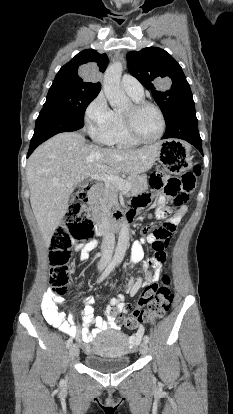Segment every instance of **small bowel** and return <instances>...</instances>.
Here are the masks:
<instances>
[{"mask_svg":"<svg viewBox=\"0 0 233 414\" xmlns=\"http://www.w3.org/2000/svg\"><path fill=\"white\" fill-rule=\"evenodd\" d=\"M150 199L146 196H138L134 201V209H141L148 206ZM165 197L162 195L157 196V205L159 206V216L166 217L169 213L168 209L164 207ZM188 208L186 205L178 207L175 213L168 219L166 224L176 226L186 214ZM95 240L76 246V250L80 253V260L85 261L89 257V252L96 246ZM143 256V251L138 243H135L132 247V262H138ZM162 263L156 265L154 269H149L145 266L144 280L141 276H138L136 281L132 284H128L126 289L129 291L131 297L136 296L141 288H145L149 285L157 283L159 280L160 270ZM82 285L83 283V279ZM73 287L72 285L70 286ZM51 292V289H48ZM98 298L89 296L83 300L82 310V328H79L76 319L72 312L66 313L61 306L64 304L62 297L55 294L44 293L41 300L42 314L45 320L52 326L58 328L64 333L69 334L74 339L78 340L85 349H90V344L94 341L96 335L106 330L108 327L115 328V316L117 313L124 311L126 303L124 296L119 294L115 298L109 300L108 304L103 306L102 317L94 316V306L97 303ZM144 329L142 325L139 327L136 335L131 337V343H135L139 340Z\"/></svg>","mask_w":233,"mask_h":414,"instance_id":"small-bowel-1","label":"small bowel"}]
</instances>
